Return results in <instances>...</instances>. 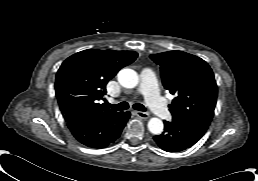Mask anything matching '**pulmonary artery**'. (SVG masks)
I'll use <instances>...</instances> for the list:
<instances>
[{
  "label": "pulmonary artery",
  "mask_w": 258,
  "mask_h": 181,
  "mask_svg": "<svg viewBox=\"0 0 258 181\" xmlns=\"http://www.w3.org/2000/svg\"><path fill=\"white\" fill-rule=\"evenodd\" d=\"M140 81L139 91L144 95L150 109L160 118H170L171 114L159 95L154 72L144 69L140 74Z\"/></svg>",
  "instance_id": "1"
}]
</instances>
